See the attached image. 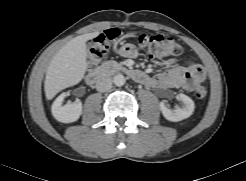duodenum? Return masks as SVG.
Returning <instances> with one entry per match:
<instances>
[{"label": "duodenum", "mask_w": 246, "mask_h": 181, "mask_svg": "<svg viewBox=\"0 0 246 181\" xmlns=\"http://www.w3.org/2000/svg\"><path fill=\"white\" fill-rule=\"evenodd\" d=\"M119 71L124 74H127L132 79L140 83H144L147 80V75L138 70H134V69L127 68L125 66H121L119 67ZM106 73H107V69L91 71L88 74L86 81L91 86H100L104 84L105 82Z\"/></svg>", "instance_id": "1"}]
</instances>
